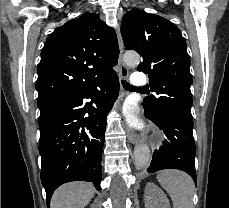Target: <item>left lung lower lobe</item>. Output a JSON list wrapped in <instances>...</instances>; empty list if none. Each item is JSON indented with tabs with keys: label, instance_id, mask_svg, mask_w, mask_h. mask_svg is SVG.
Instances as JSON below:
<instances>
[{
	"label": "left lung lower lobe",
	"instance_id": "1",
	"mask_svg": "<svg viewBox=\"0 0 229 208\" xmlns=\"http://www.w3.org/2000/svg\"><path fill=\"white\" fill-rule=\"evenodd\" d=\"M144 114L162 129L167 137L160 149L154 152L147 171L154 173L162 169H179L188 173L194 182H197L193 122L165 112L154 113L144 109Z\"/></svg>",
	"mask_w": 229,
	"mask_h": 208
}]
</instances>
